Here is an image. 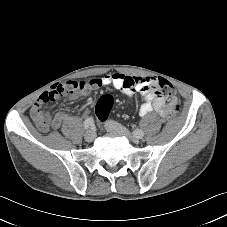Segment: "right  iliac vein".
Listing matches in <instances>:
<instances>
[{"label": "right iliac vein", "instance_id": "1", "mask_svg": "<svg viewBox=\"0 0 227 227\" xmlns=\"http://www.w3.org/2000/svg\"><path fill=\"white\" fill-rule=\"evenodd\" d=\"M84 137L87 142H92L95 138V132L93 130H88Z\"/></svg>", "mask_w": 227, "mask_h": 227}]
</instances>
